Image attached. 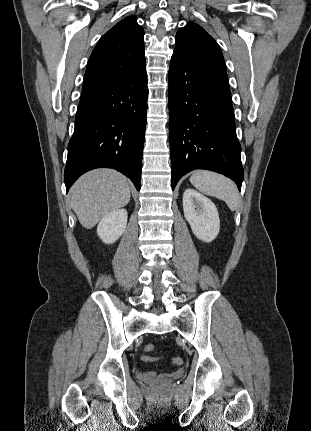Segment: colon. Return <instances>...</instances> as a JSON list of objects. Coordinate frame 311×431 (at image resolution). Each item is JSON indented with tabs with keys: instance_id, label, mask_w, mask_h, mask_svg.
<instances>
[{
	"instance_id": "1",
	"label": "colon",
	"mask_w": 311,
	"mask_h": 431,
	"mask_svg": "<svg viewBox=\"0 0 311 431\" xmlns=\"http://www.w3.org/2000/svg\"><path fill=\"white\" fill-rule=\"evenodd\" d=\"M144 350L146 352H152L154 350V345L153 344H147L144 347ZM141 359H142V361L148 362V363H152V362H156L157 361V358L149 356V355H143L141 357ZM172 362H173L174 365L180 366V365L183 364V359L181 357H174L172 359Z\"/></svg>"
}]
</instances>
